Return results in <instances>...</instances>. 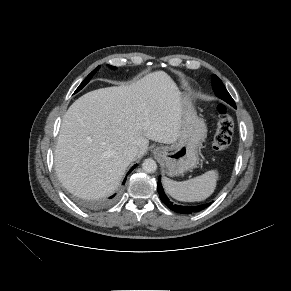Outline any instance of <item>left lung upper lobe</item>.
<instances>
[{
  "mask_svg": "<svg viewBox=\"0 0 291 291\" xmlns=\"http://www.w3.org/2000/svg\"><path fill=\"white\" fill-rule=\"evenodd\" d=\"M212 87L215 92V94L232 105L233 107H236L234 100L226 90L225 86L223 85L222 81L214 74L212 75Z\"/></svg>",
  "mask_w": 291,
  "mask_h": 291,
  "instance_id": "5c2ea615",
  "label": "left lung upper lobe"
}]
</instances>
